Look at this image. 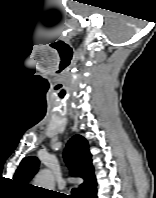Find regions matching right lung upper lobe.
<instances>
[{
    "label": "right lung upper lobe",
    "mask_w": 156,
    "mask_h": 198,
    "mask_svg": "<svg viewBox=\"0 0 156 198\" xmlns=\"http://www.w3.org/2000/svg\"><path fill=\"white\" fill-rule=\"evenodd\" d=\"M64 159L70 168V173L85 180L81 187L84 189V196H89L96 190L97 183L87 140L81 135L73 136L65 148ZM38 166L39 161L36 157H26L16 170L14 180L27 184L37 172Z\"/></svg>",
    "instance_id": "right-lung-upper-lobe-1"
}]
</instances>
